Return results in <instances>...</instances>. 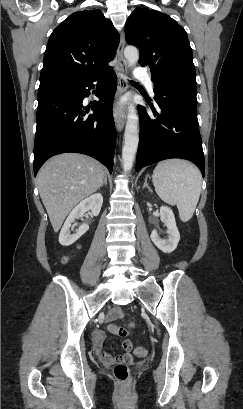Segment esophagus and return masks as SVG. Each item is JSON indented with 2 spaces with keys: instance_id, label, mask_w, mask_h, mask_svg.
<instances>
[{
  "instance_id": "obj_1",
  "label": "esophagus",
  "mask_w": 243,
  "mask_h": 409,
  "mask_svg": "<svg viewBox=\"0 0 243 409\" xmlns=\"http://www.w3.org/2000/svg\"><path fill=\"white\" fill-rule=\"evenodd\" d=\"M124 46H125V37L122 32L120 43L117 49V59L119 70L117 73L118 77V86L115 96V110H114V122L118 131H121L125 124V110L124 108L120 109L117 104L121 96L128 89V80H127V62L124 58Z\"/></svg>"
}]
</instances>
